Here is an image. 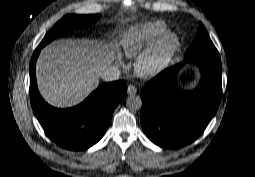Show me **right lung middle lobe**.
Listing matches in <instances>:
<instances>
[{"instance_id":"1","label":"right lung middle lobe","mask_w":255,"mask_h":177,"mask_svg":"<svg viewBox=\"0 0 255 177\" xmlns=\"http://www.w3.org/2000/svg\"><path fill=\"white\" fill-rule=\"evenodd\" d=\"M100 18V15H66L64 16L44 37L39 44V48H43L46 44L51 42L61 33L65 32L71 27L88 26L95 23Z\"/></svg>"}]
</instances>
